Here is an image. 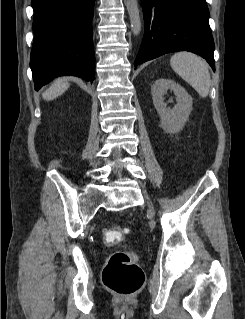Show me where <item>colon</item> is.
<instances>
[{"label": "colon", "mask_w": 245, "mask_h": 319, "mask_svg": "<svg viewBox=\"0 0 245 319\" xmlns=\"http://www.w3.org/2000/svg\"><path fill=\"white\" fill-rule=\"evenodd\" d=\"M126 233L127 229L121 226H110L102 231L104 241L109 245L120 243ZM102 281L118 295L130 297L142 287L145 275L132 253L116 252L105 263Z\"/></svg>", "instance_id": "5ec220e1"}]
</instances>
